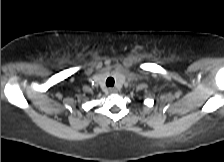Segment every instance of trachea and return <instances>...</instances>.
<instances>
[{"mask_svg":"<svg viewBox=\"0 0 224 162\" xmlns=\"http://www.w3.org/2000/svg\"><path fill=\"white\" fill-rule=\"evenodd\" d=\"M114 83H115V81H114V79L112 77L107 78L106 85L108 87H113L114 86Z\"/></svg>","mask_w":224,"mask_h":162,"instance_id":"obj_1","label":"trachea"}]
</instances>
